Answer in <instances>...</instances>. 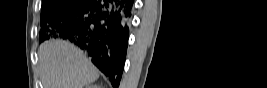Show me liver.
Masks as SVG:
<instances>
[{
	"mask_svg": "<svg viewBox=\"0 0 267 88\" xmlns=\"http://www.w3.org/2000/svg\"><path fill=\"white\" fill-rule=\"evenodd\" d=\"M38 57L43 88H83L99 77L98 70L84 53L63 40L43 42Z\"/></svg>",
	"mask_w": 267,
	"mask_h": 88,
	"instance_id": "obj_1",
	"label": "liver"
}]
</instances>
